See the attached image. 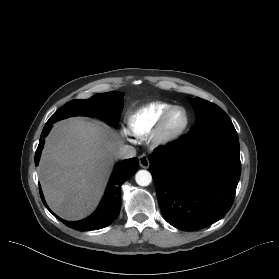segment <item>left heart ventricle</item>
Segmentation results:
<instances>
[{
    "label": "left heart ventricle",
    "mask_w": 279,
    "mask_h": 279,
    "mask_svg": "<svg viewBox=\"0 0 279 279\" xmlns=\"http://www.w3.org/2000/svg\"><path fill=\"white\" fill-rule=\"evenodd\" d=\"M184 123V113L181 110L174 111L167 120V132L175 133Z\"/></svg>",
    "instance_id": "obj_1"
}]
</instances>
